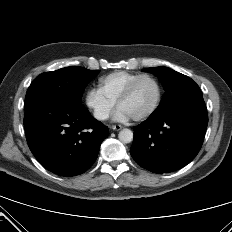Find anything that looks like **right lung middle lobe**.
I'll use <instances>...</instances> for the list:
<instances>
[{
    "label": "right lung middle lobe",
    "instance_id": "dd1d6c3e",
    "mask_svg": "<svg viewBox=\"0 0 232 232\" xmlns=\"http://www.w3.org/2000/svg\"><path fill=\"white\" fill-rule=\"evenodd\" d=\"M99 73L83 67H66L42 73L31 83L25 107L40 101L81 103L87 83Z\"/></svg>",
    "mask_w": 232,
    "mask_h": 232
}]
</instances>
